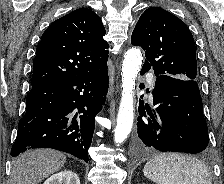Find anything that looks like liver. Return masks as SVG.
I'll return each instance as SVG.
<instances>
[{"label":"liver","mask_w":224,"mask_h":184,"mask_svg":"<svg viewBox=\"0 0 224 184\" xmlns=\"http://www.w3.org/2000/svg\"><path fill=\"white\" fill-rule=\"evenodd\" d=\"M66 156L52 149L29 150L15 158L11 170V184H39L59 171Z\"/></svg>","instance_id":"1"}]
</instances>
